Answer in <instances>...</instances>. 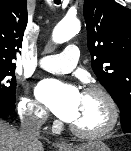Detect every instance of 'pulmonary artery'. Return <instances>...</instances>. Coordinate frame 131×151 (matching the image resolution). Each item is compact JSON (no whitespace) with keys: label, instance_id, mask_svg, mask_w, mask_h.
<instances>
[{"label":"pulmonary artery","instance_id":"obj_1","mask_svg":"<svg viewBox=\"0 0 131 151\" xmlns=\"http://www.w3.org/2000/svg\"><path fill=\"white\" fill-rule=\"evenodd\" d=\"M80 51L77 45L70 44L60 54L48 55L40 59L39 66L56 74L71 72L79 59Z\"/></svg>","mask_w":131,"mask_h":151}]
</instances>
